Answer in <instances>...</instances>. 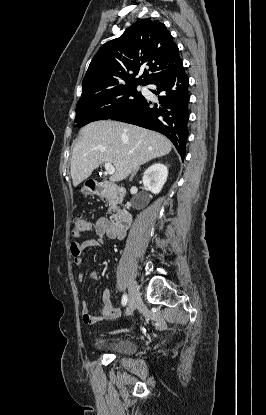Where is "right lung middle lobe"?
<instances>
[{
    "instance_id": "obj_1",
    "label": "right lung middle lobe",
    "mask_w": 266,
    "mask_h": 415,
    "mask_svg": "<svg viewBox=\"0 0 266 415\" xmlns=\"http://www.w3.org/2000/svg\"><path fill=\"white\" fill-rule=\"evenodd\" d=\"M136 87V85H124L80 99L74 120L77 127L97 120L111 119L139 104L144 97L138 93Z\"/></svg>"
}]
</instances>
